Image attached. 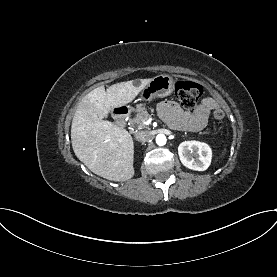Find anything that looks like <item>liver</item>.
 I'll return each instance as SVG.
<instances>
[{
    "instance_id": "obj_1",
    "label": "liver",
    "mask_w": 277,
    "mask_h": 277,
    "mask_svg": "<svg viewBox=\"0 0 277 277\" xmlns=\"http://www.w3.org/2000/svg\"><path fill=\"white\" fill-rule=\"evenodd\" d=\"M152 79L95 88L80 101L71 125L75 155L93 173L111 181L134 176V143L126 129L104 120L116 107L132 102Z\"/></svg>"
}]
</instances>
